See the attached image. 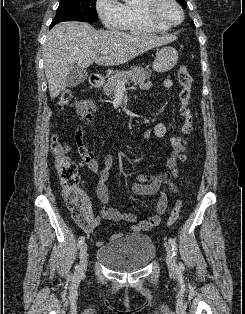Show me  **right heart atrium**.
<instances>
[{
  "instance_id": "1",
  "label": "right heart atrium",
  "mask_w": 245,
  "mask_h": 314,
  "mask_svg": "<svg viewBox=\"0 0 245 314\" xmlns=\"http://www.w3.org/2000/svg\"><path fill=\"white\" fill-rule=\"evenodd\" d=\"M121 4L118 0H96V11L108 29H119Z\"/></svg>"
}]
</instances>
